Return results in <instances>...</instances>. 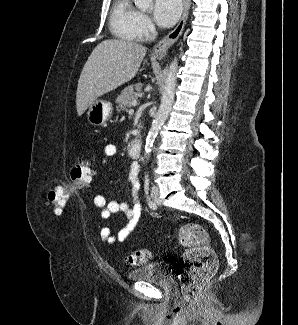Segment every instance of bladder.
<instances>
[{
    "mask_svg": "<svg viewBox=\"0 0 298 325\" xmlns=\"http://www.w3.org/2000/svg\"><path fill=\"white\" fill-rule=\"evenodd\" d=\"M128 279L136 282H148L157 285L167 291L174 288L172 277L165 271L162 265L150 263L131 270L127 274Z\"/></svg>",
    "mask_w": 298,
    "mask_h": 325,
    "instance_id": "1",
    "label": "bladder"
}]
</instances>
